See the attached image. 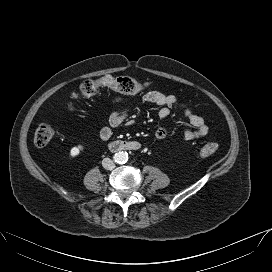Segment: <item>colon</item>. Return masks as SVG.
<instances>
[{"mask_svg":"<svg viewBox=\"0 0 272 272\" xmlns=\"http://www.w3.org/2000/svg\"><path fill=\"white\" fill-rule=\"evenodd\" d=\"M101 87L109 88L121 94H134L147 88L148 83H140L127 76L116 77L112 75H104L98 79H88L83 81L80 84L78 91L73 94V97H91L95 95ZM69 108H73L72 103L69 104ZM52 137V128L47 124H40L34 133V143L35 145L42 147L49 144ZM218 149V143L209 142L200 149L199 156L208 157L216 153Z\"/></svg>","mask_w":272,"mask_h":272,"instance_id":"colon-1","label":"colon"}]
</instances>
